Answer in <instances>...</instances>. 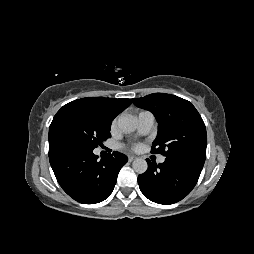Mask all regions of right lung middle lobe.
Returning a JSON list of instances; mask_svg holds the SVG:
<instances>
[{"label":"right lung middle lobe","mask_w":254,"mask_h":254,"mask_svg":"<svg viewBox=\"0 0 254 254\" xmlns=\"http://www.w3.org/2000/svg\"><path fill=\"white\" fill-rule=\"evenodd\" d=\"M111 123L112 120L96 106L85 103L65 105L52 120L49 141H69L94 149L111 137Z\"/></svg>","instance_id":"right-lung-middle-lobe-1"}]
</instances>
